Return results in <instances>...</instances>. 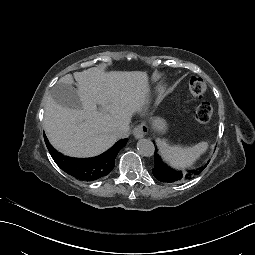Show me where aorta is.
Wrapping results in <instances>:
<instances>
[{"label":"aorta","mask_w":255,"mask_h":255,"mask_svg":"<svg viewBox=\"0 0 255 255\" xmlns=\"http://www.w3.org/2000/svg\"><path fill=\"white\" fill-rule=\"evenodd\" d=\"M137 149H138V152L142 156H145V157L153 156L154 151H155V147H154L153 142L151 140L145 139V138L140 139L137 142Z\"/></svg>","instance_id":"aorta-1"}]
</instances>
